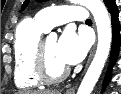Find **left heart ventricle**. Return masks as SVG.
Instances as JSON below:
<instances>
[{"instance_id": "b2bd125f", "label": "left heart ventricle", "mask_w": 121, "mask_h": 94, "mask_svg": "<svg viewBox=\"0 0 121 94\" xmlns=\"http://www.w3.org/2000/svg\"><path fill=\"white\" fill-rule=\"evenodd\" d=\"M45 51L47 57V66L50 73H59L67 66L64 62H62L57 54V41L55 39L45 40Z\"/></svg>"}]
</instances>
